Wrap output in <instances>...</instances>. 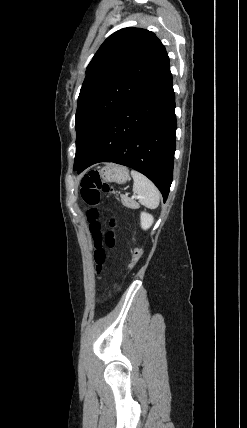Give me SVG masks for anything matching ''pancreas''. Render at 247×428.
Instances as JSON below:
<instances>
[{"label":"pancreas","mask_w":247,"mask_h":428,"mask_svg":"<svg viewBox=\"0 0 247 428\" xmlns=\"http://www.w3.org/2000/svg\"><path fill=\"white\" fill-rule=\"evenodd\" d=\"M120 197H121L122 204L124 206L131 208V209L139 208V204L136 201H134L133 199L127 197L126 195H121Z\"/></svg>","instance_id":"cf45deb5"}]
</instances>
